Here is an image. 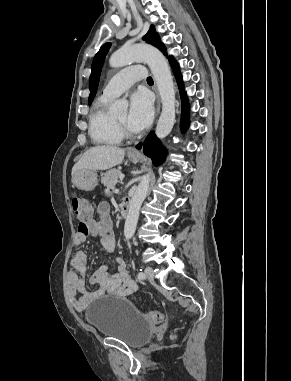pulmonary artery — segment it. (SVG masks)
<instances>
[{"mask_svg": "<svg viewBox=\"0 0 291 381\" xmlns=\"http://www.w3.org/2000/svg\"><path fill=\"white\" fill-rule=\"evenodd\" d=\"M146 70L141 65H133L119 71L106 84L102 96L115 98L129 89L136 81L145 78Z\"/></svg>", "mask_w": 291, "mask_h": 381, "instance_id": "e3ab8cb5", "label": "pulmonary artery"}]
</instances>
